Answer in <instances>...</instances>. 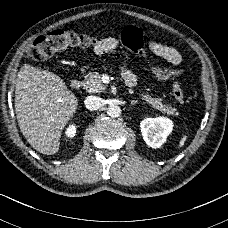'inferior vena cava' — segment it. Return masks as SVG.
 <instances>
[{
	"label": "inferior vena cava",
	"mask_w": 228,
	"mask_h": 228,
	"mask_svg": "<svg viewBox=\"0 0 228 228\" xmlns=\"http://www.w3.org/2000/svg\"><path fill=\"white\" fill-rule=\"evenodd\" d=\"M85 107L90 111H96L103 105V99L99 96H88L85 98Z\"/></svg>",
	"instance_id": "obj_1"
}]
</instances>
